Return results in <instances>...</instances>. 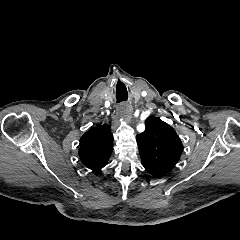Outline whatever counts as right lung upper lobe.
Here are the masks:
<instances>
[{"instance_id": "obj_1", "label": "right lung upper lobe", "mask_w": 240, "mask_h": 240, "mask_svg": "<svg viewBox=\"0 0 240 240\" xmlns=\"http://www.w3.org/2000/svg\"><path fill=\"white\" fill-rule=\"evenodd\" d=\"M112 151L113 135L108 125L93 127L80 139L79 157L93 172L100 171L107 165Z\"/></svg>"}]
</instances>
